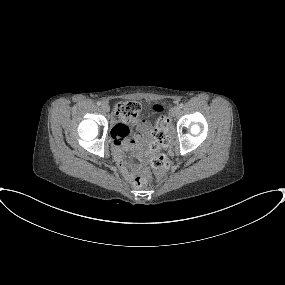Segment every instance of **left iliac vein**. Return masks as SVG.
I'll return each mask as SVG.
<instances>
[{"instance_id": "1", "label": "left iliac vein", "mask_w": 285, "mask_h": 285, "mask_svg": "<svg viewBox=\"0 0 285 285\" xmlns=\"http://www.w3.org/2000/svg\"><path fill=\"white\" fill-rule=\"evenodd\" d=\"M180 112V108L178 106H174L172 109H171V115L173 117L177 116Z\"/></svg>"}]
</instances>
